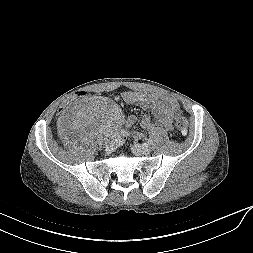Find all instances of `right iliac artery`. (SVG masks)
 I'll list each match as a JSON object with an SVG mask.
<instances>
[{"instance_id":"1","label":"right iliac artery","mask_w":253,"mask_h":253,"mask_svg":"<svg viewBox=\"0 0 253 253\" xmlns=\"http://www.w3.org/2000/svg\"><path fill=\"white\" fill-rule=\"evenodd\" d=\"M118 136H122V137L128 136V132L125 130H121Z\"/></svg>"}]
</instances>
